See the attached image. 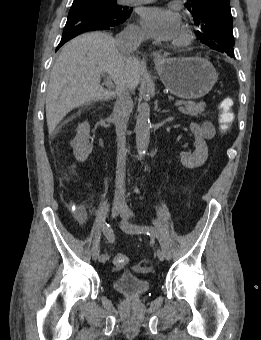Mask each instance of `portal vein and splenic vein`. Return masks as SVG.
<instances>
[{
    "label": "portal vein and splenic vein",
    "instance_id": "portal-vein-and-splenic-vein-1",
    "mask_svg": "<svg viewBox=\"0 0 261 340\" xmlns=\"http://www.w3.org/2000/svg\"><path fill=\"white\" fill-rule=\"evenodd\" d=\"M102 75L104 76V73H102ZM105 85L107 88L109 89H113L114 88V84L112 83V81L110 80V78L108 77V75L105 76V81H104ZM183 104L182 101H177L174 103L175 107H179Z\"/></svg>",
    "mask_w": 261,
    "mask_h": 340
}]
</instances>
